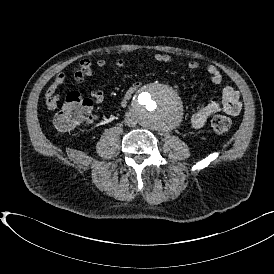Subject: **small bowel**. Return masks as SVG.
Here are the masks:
<instances>
[{
    "mask_svg": "<svg viewBox=\"0 0 274 274\" xmlns=\"http://www.w3.org/2000/svg\"><path fill=\"white\" fill-rule=\"evenodd\" d=\"M153 61L161 64H177L185 67L189 70H197L200 67L198 61L191 60L185 63H179L175 61L170 55L164 53H156L152 56ZM115 67L121 69L125 66V61L122 58L115 60ZM107 62L103 58L97 59L93 62L90 59H83L72 70V76L76 83L81 84L86 78L93 76L94 68H105ZM206 72L212 83L220 85L224 82V76L221 71L213 64H207ZM67 78L64 74H59L55 77L52 84L48 89L42 91L41 96L45 103H47L50 112L55 113L58 111L59 106L56 98L54 97L58 90L66 84ZM141 82H135L126 90L122 97L121 105L125 107L133 94L139 89ZM54 95V96H53ZM104 93L99 89H91L89 91V97L83 99L86 104L92 108L93 105H99L104 101ZM242 109V103L240 101L239 92L232 86H225L222 90L221 101H210L203 104L196 112L190 117V126L198 130L204 126L207 119L216 113H225L227 115L235 116L240 113ZM98 120L97 115H91L88 119L89 122H96Z\"/></svg>",
    "mask_w": 274,
    "mask_h": 274,
    "instance_id": "small-bowel-1",
    "label": "small bowel"
}]
</instances>
